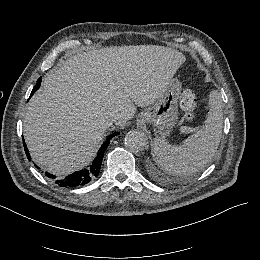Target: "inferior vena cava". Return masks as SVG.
Returning <instances> with one entry per match:
<instances>
[{
    "label": "inferior vena cava",
    "mask_w": 260,
    "mask_h": 260,
    "mask_svg": "<svg viewBox=\"0 0 260 260\" xmlns=\"http://www.w3.org/2000/svg\"><path fill=\"white\" fill-rule=\"evenodd\" d=\"M113 123L117 124V117L114 114H111L108 118L105 119V125L110 127Z\"/></svg>",
    "instance_id": "inferior-vena-cava-1"
}]
</instances>
